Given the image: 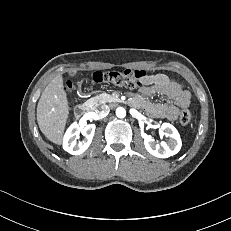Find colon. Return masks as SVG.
<instances>
[{"label": "colon", "mask_w": 231, "mask_h": 231, "mask_svg": "<svg viewBox=\"0 0 231 231\" xmlns=\"http://www.w3.org/2000/svg\"><path fill=\"white\" fill-rule=\"evenodd\" d=\"M146 73L141 70H123L109 72H95L92 75V82L96 84H108L121 88H136L143 84ZM69 89H74V83H67ZM192 115L187 109L181 111L179 122L182 126H187L191 122Z\"/></svg>", "instance_id": "5ec220e1"}]
</instances>
